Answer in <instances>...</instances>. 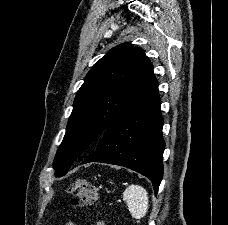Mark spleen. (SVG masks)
Segmentation results:
<instances>
[{
  "label": "spleen",
  "mask_w": 228,
  "mask_h": 225,
  "mask_svg": "<svg viewBox=\"0 0 228 225\" xmlns=\"http://www.w3.org/2000/svg\"><path fill=\"white\" fill-rule=\"evenodd\" d=\"M134 219H143L148 211L149 197L146 189L139 185H129L122 195Z\"/></svg>",
  "instance_id": "3e777b00"
}]
</instances>
